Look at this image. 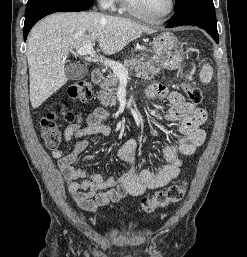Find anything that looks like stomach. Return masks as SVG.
Masks as SVG:
<instances>
[{
	"label": "stomach",
	"instance_id": "1",
	"mask_svg": "<svg viewBox=\"0 0 247 257\" xmlns=\"http://www.w3.org/2000/svg\"><path fill=\"white\" fill-rule=\"evenodd\" d=\"M153 59L165 69L175 70L181 67L185 52L177 37L171 32H164L152 41Z\"/></svg>",
	"mask_w": 247,
	"mask_h": 257
}]
</instances>
